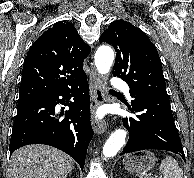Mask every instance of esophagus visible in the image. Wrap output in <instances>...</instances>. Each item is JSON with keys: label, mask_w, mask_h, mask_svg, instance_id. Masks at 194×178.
Returning a JSON list of instances; mask_svg holds the SVG:
<instances>
[{"label": "esophagus", "mask_w": 194, "mask_h": 178, "mask_svg": "<svg viewBox=\"0 0 194 178\" xmlns=\"http://www.w3.org/2000/svg\"><path fill=\"white\" fill-rule=\"evenodd\" d=\"M90 87L92 91L91 111H92V128L95 133H104L107 129L106 121L95 118L94 113L96 108L104 102V91L102 80L95 70L92 71L90 76Z\"/></svg>", "instance_id": "esophagus-1"}]
</instances>
